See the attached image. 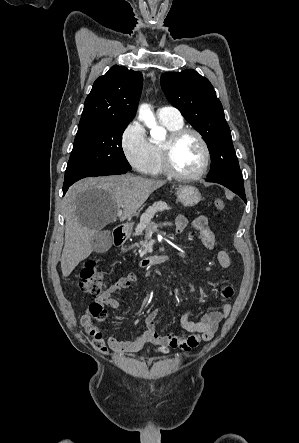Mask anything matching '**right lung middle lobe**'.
Instances as JSON below:
<instances>
[{
	"mask_svg": "<svg viewBox=\"0 0 299 443\" xmlns=\"http://www.w3.org/2000/svg\"><path fill=\"white\" fill-rule=\"evenodd\" d=\"M128 123L111 122L78 131L64 185L108 170H131L121 147L122 134Z\"/></svg>",
	"mask_w": 299,
	"mask_h": 443,
	"instance_id": "right-lung-middle-lobe-1",
	"label": "right lung middle lobe"
}]
</instances>
